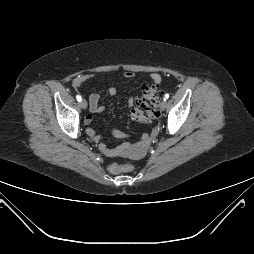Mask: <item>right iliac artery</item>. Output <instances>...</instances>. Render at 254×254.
Masks as SVG:
<instances>
[{
  "instance_id": "82829eb1",
  "label": "right iliac artery",
  "mask_w": 254,
  "mask_h": 254,
  "mask_svg": "<svg viewBox=\"0 0 254 254\" xmlns=\"http://www.w3.org/2000/svg\"><path fill=\"white\" fill-rule=\"evenodd\" d=\"M76 99H77V101L80 102V101H81V96H80V95H77V96H76Z\"/></svg>"
}]
</instances>
